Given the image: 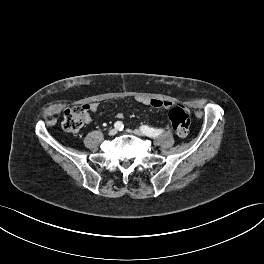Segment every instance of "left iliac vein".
I'll return each mask as SVG.
<instances>
[{"instance_id": "left-iliac-vein-1", "label": "left iliac vein", "mask_w": 264, "mask_h": 264, "mask_svg": "<svg viewBox=\"0 0 264 264\" xmlns=\"http://www.w3.org/2000/svg\"><path fill=\"white\" fill-rule=\"evenodd\" d=\"M133 133L136 135V136H144L145 134L141 131V130H139V129H135L134 131H133Z\"/></svg>"}]
</instances>
